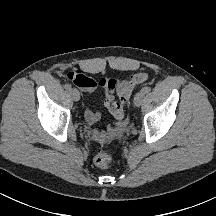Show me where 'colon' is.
Returning a JSON list of instances; mask_svg holds the SVG:
<instances>
[{
    "instance_id": "colon-1",
    "label": "colon",
    "mask_w": 216,
    "mask_h": 216,
    "mask_svg": "<svg viewBox=\"0 0 216 216\" xmlns=\"http://www.w3.org/2000/svg\"><path fill=\"white\" fill-rule=\"evenodd\" d=\"M68 78L73 82H79L82 79V74L69 73ZM149 75L145 72H140L132 75L128 80L118 81L114 78H102L99 85L106 91L105 100L108 104V109L120 125L124 123L125 114L124 106L130 98L136 86L145 83ZM113 92L117 94V100L113 98ZM94 163L100 168H108L112 164V157L106 152H99L94 157Z\"/></svg>"
}]
</instances>
